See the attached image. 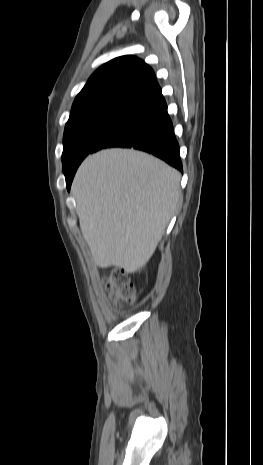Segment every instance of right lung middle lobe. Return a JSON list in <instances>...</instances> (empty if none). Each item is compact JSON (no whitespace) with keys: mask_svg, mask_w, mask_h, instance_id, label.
Returning a JSON list of instances; mask_svg holds the SVG:
<instances>
[{"mask_svg":"<svg viewBox=\"0 0 263 465\" xmlns=\"http://www.w3.org/2000/svg\"><path fill=\"white\" fill-rule=\"evenodd\" d=\"M137 101L128 98H106L71 110L63 136L62 164L65 176L78 168L100 138Z\"/></svg>","mask_w":263,"mask_h":465,"instance_id":"right-lung-middle-lobe-1","label":"right lung middle lobe"}]
</instances>
